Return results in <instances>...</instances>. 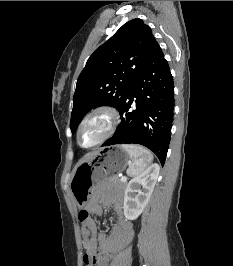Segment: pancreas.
Masks as SVG:
<instances>
[{
	"mask_svg": "<svg viewBox=\"0 0 233 266\" xmlns=\"http://www.w3.org/2000/svg\"><path fill=\"white\" fill-rule=\"evenodd\" d=\"M111 181H113L115 184L119 185L122 188H124L126 186V184H127L126 181L125 182H122L117 175L113 176L111 178Z\"/></svg>",
	"mask_w": 233,
	"mask_h": 266,
	"instance_id": "pancreas-1",
	"label": "pancreas"
}]
</instances>
